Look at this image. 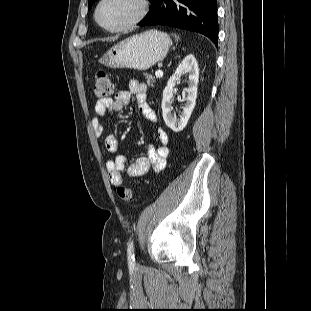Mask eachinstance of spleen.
<instances>
[{"label":"spleen","mask_w":311,"mask_h":311,"mask_svg":"<svg viewBox=\"0 0 311 311\" xmlns=\"http://www.w3.org/2000/svg\"><path fill=\"white\" fill-rule=\"evenodd\" d=\"M174 37H175V39L178 41V39H179V37L178 36H176V35H173Z\"/></svg>","instance_id":"spleen-1"}]
</instances>
